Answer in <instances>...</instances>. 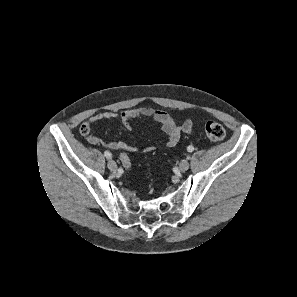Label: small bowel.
<instances>
[{
  "label": "small bowel",
  "mask_w": 297,
  "mask_h": 297,
  "mask_svg": "<svg viewBox=\"0 0 297 297\" xmlns=\"http://www.w3.org/2000/svg\"><path fill=\"white\" fill-rule=\"evenodd\" d=\"M117 117L122 126L127 130L131 129V120L133 119L142 118L157 122L161 126L163 132L166 134V144L169 147L175 146L179 142L182 134H192L194 130V122L192 119H187L181 125H178L172 115L168 112L150 107L132 108L125 110L120 114L112 111H99L93 114L87 123L91 127L97 121L112 120L116 119ZM87 140L93 145H101L112 150L131 152H136L139 150V147L137 146L121 141H106L91 133L87 135ZM154 149V146L149 145L143 148L142 152L147 154L154 151Z\"/></svg>",
  "instance_id": "small-bowel-1"
}]
</instances>
